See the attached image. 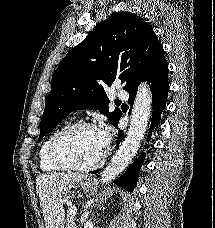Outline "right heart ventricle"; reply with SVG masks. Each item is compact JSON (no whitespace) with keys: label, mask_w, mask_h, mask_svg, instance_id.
Returning <instances> with one entry per match:
<instances>
[{"label":"right heart ventricle","mask_w":215,"mask_h":228,"mask_svg":"<svg viewBox=\"0 0 215 228\" xmlns=\"http://www.w3.org/2000/svg\"><path fill=\"white\" fill-rule=\"evenodd\" d=\"M68 124L69 123H65V124L61 125L60 127L52 130L43 140L41 147H40V152H39L40 168L43 172L54 173V172H58L61 170V169L55 167L54 165H52L51 162L49 161L48 148H49V144H50L51 140L53 139V137Z\"/></svg>","instance_id":"1"}]
</instances>
